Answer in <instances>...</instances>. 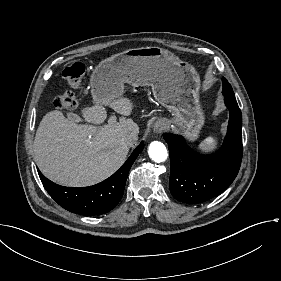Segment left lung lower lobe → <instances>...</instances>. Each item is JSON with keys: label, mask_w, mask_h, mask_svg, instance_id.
Masks as SVG:
<instances>
[{"label": "left lung lower lobe", "mask_w": 281, "mask_h": 281, "mask_svg": "<svg viewBox=\"0 0 281 281\" xmlns=\"http://www.w3.org/2000/svg\"><path fill=\"white\" fill-rule=\"evenodd\" d=\"M230 118L219 151L201 155L190 149L182 136L164 134L168 143L171 175L169 188L178 201L196 204L223 192L238 174L243 154L242 115L235 97L225 96Z\"/></svg>", "instance_id": "1"}]
</instances>
